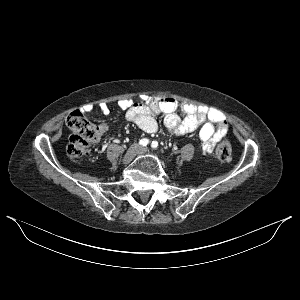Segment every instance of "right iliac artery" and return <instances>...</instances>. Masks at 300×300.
<instances>
[{
    "label": "right iliac artery",
    "instance_id": "right-iliac-artery-1",
    "mask_svg": "<svg viewBox=\"0 0 300 300\" xmlns=\"http://www.w3.org/2000/svg\"><path fill=\"white\" fill-rule=\"evenodd\" d=\"M141 146H147L149 144V140L147 138H143L139 141Z\"/></svg>",
    "mask_w": 300,
    "mask_h": 300
}]
</instances>
